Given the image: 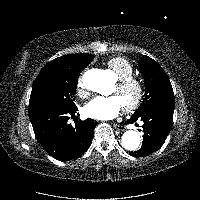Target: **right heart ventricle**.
Masks as SVG:
<instances>
[{
  "label": "right heart ventricle",
  "mask_w": 200,
  "mask_h": 200,
  "mask_svg": "<svg viewBox=\"0 0 200 200\" xmlns=\"http://www.w3.org/2000/svg\"><path fill=\"white\" fill-rule=\"evenodd\" d=\"M106 65L118 79L133 76L135 72L132 63L127 58L121 56L108 59Z\"/></svg>",
  "instance_id": "right-heart-ventricle-1"
}]
</instances>
